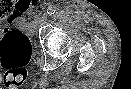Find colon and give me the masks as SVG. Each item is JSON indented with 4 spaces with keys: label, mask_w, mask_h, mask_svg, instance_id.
Listing matches in <instances>:
<instances>
[{
    "label": "colon",
    "mask_w": 131,
    "mask_h": 89,
    "mask_svg": "<svg viewBox=\"0 0 131 89\" xmlns=\"http://www.w3.org/2000/svg\"><path fill=\"white\" fill-rule=\"evenodd\" d=\"M8 3V8L3 11V1H0V18L7 14L14 13V5ZM24 11V10H22ZM25 12V11H24ZM19 16V14H16ZM22 24H29L33 21L32 14H26L21 18ZM17 18V19H18ZM32 55V44L28 36L20 30H11L6 32L0 39V81H3L6 87H19L26 78L27 72L25 66Z\"/></svg>",
    "instance_id": "obj_1"
}]
</instances>
